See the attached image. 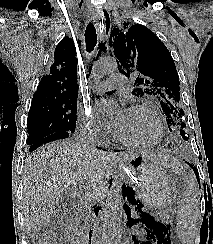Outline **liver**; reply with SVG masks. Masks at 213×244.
I'll return each instance as SVG.
<instances>
[{"instance_id": "6515ba94", "label": "liver", "mask_w": 213, "mask_h": 244, "mask_svg": "<svg viewBox=\"0 0 213 244\" xmlns=\"http://www.w3.org/2000/svg\"><path fill=\"white\" fill-rule=\"evenodd\" d=\"M167 165L161 153H105L71 141H55L33 153L24 173V225L28 236L46 226L67 190L84 187L89 202L101 201L108 191L107 179L119 162H131L139 155ZM80 184L78 187L77 185Z\"/></svg>"}]
</instances>
